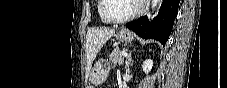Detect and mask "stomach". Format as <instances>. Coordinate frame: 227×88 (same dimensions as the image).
<instances>
[{"label": "stomach", "instance_id": "1", "mask_svg": "<svg viewBox=\"0 0 227 88\" xmlns=\"http://www.w3.org/2000/svg\"><path fill=\"white\" fill-rule=\"evenodd\" d=\"M116 38L125 43H130L134 39L133 33L128 29H121ZM108 68L104 65L103 61L95 63L89 73V80L94 85L103 84L108 76Z\"/></svg>", "mask_w": 227, "mask_h": 88}]
</instances>
